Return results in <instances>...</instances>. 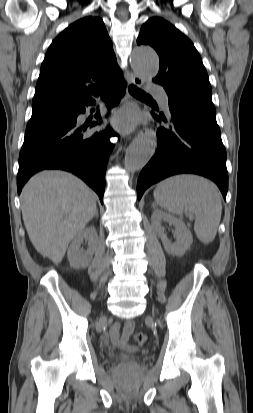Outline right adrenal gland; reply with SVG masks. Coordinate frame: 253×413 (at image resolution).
<instances>
[{
    "instance_id": "right-adrenal-gland-1",
    "label": "right adrenal gland",
    "mask_w": 253,
    "mask_h": 413,
    "mask_svg": "<svg viewBox=\"0 0 253 413\" xmlns=\"http://www.w3.org/2000/svg\"><path fill=\"white\" fill-rule=\"evenodd\" d=\"M95 216L98 218V211L96 210Z\"/></svg>"
}]
</instances>
